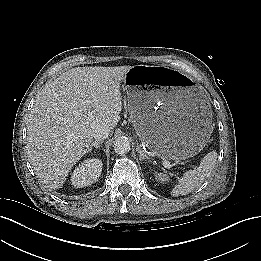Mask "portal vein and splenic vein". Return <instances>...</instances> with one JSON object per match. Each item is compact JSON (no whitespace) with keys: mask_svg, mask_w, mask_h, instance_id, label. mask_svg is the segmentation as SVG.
I'll return each instance as SVG.
<instances>
[{"mask_svg":"<svg viewBox=\"0 0 261 261\" xmlns=\"http://www.w3.org/2000/svg\"><path fill=\"white\" fill-rule=\"evenodd\" d=\"M163 163H164L165 167H167V168H170L172 166L170 164V162H168L167 160H164Z\"/></svg>","mask_w":261,"mask_h":261,"instance_id":"portal-vein-and-splenic-vein-1","label":"portal vein and splenic vein"}]
</instances>
